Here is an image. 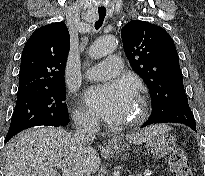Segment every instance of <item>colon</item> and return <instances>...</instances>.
<instances>
[{
    "label": "colon",
    "mask_w": 205,
    "mask_h": 176,
    "mask_svg": "<svg viewBox=\"0 0 205 176\" xmlns=\"http://www.w3.org/2000/svg\"><path fill=\"white\" fill-rule=\"evenodd\" d=\"M169 166L174 176H194L189 160L182 149L172 152Z\"/></svg>",
    "instance_id": "1"
}]
</instances>
